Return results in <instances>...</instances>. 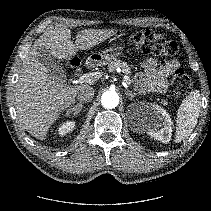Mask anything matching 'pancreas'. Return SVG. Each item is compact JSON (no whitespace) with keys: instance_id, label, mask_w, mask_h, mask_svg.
I'll list each match as a JSON object with an SVG mask.
<instances>
[{"instance_id":"obj_1","label":"pancreas","mask_w":211,"mask_h":211,"mask_svg":"<svg viewBox=\"0 0 211 211\" xmlns=\"http://www.w3.org/2000/svg\"><path fill=\"white\" fill-rule=\"evenodd\" d=\"M117 68H121L123 73H125L126 75H130L131 74L129 65L127 64V62H124L122 60L115 59L114 61L110 62L109 65H108V69L110 71H114ZM162 102H163V104H167L166 101H162Z\"/></svg>"}]
</instances>
